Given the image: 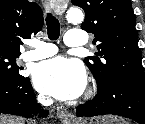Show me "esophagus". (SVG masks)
Returning a JSON list of instances; mask_svg holds the SVG:
<instances>
[{
	"label": "esophagus",
	"mask_w": 145,
	"mask_h": 124,
	"mask_svg": "<svg viewBox=\"0 0 145 124\" xmlns=\"http://www.w3.org/2000/svg\"><path fill=\"white\" fill-rule=\"evenodd\" d=\"M50 2H51L50 0H44V3L46 4L47 8H50L49 6ZM52 8L57 15H61L63 13L62 9H56L54 5H52ZM57 116L63 123L66 124L72 123L74 121L73 114L69 113L65 108L62 107L57 109Z\"/></svg>",
	"instance_id": "34e87169"
}]
</instances>
